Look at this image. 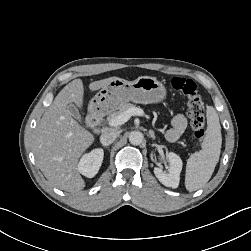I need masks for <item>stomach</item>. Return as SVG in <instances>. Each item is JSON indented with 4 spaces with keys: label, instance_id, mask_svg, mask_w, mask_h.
<instances>
[{
    "label": "stomach",
    "instance_id": "1",
    "mask_svg": "<svg viewBox=\"0 0 251 251\" xmlns=\"http://www.w3.org/2000/svg\"><path fill=\"white\" fill-rule=\"evenodd\" d=\"M163 83L151 76H140L134 81L116 79L100 89L92 98L89 109L95 113L114 110L132 101L134 103H159L166 98Z\"/></svg>",
    "mask_w": 251,
    "mask_h": 251
}]
</instances>
